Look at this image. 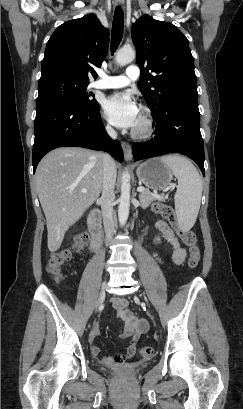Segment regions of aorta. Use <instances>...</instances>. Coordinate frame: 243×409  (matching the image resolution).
Returning a JSON list of instances; mask_svg holds the SVG:
<instances>
[{"label":"aorta","mask_w":243,"mask_h":409,"mask_svg":"<svg viewBox=\"0 0 243 409\" xmlns=\"http://www.w3.org/2000/svg\"><path fill=\"white\" fill-rule=\"evenodd\" d=\"M135 51L131 47L121 48L116 55V62L120 66L131 63L135 58ZM130 174L125 171L122 175L121 194L118 206V218L120 224L123 226L127 222L130 209Z\"/></svg>","instance_id":"1"}]
</instances>
